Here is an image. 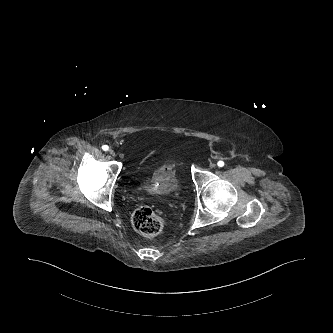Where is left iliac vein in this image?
<instances>
[{
    "label": "left iliac vein",
    "mask_w": 333,
    "mask_h": 333,
    "mask_svg": "<svg viewBox=\"0 0 333 333\" xmlns=\"http://www.w3.org/2000/svg\"><path fill=\"white\" fill-rule=\"evenodd\" d=\"M215 166H216V164H214V163H211V164L209 165L210 168H215Z\"/></svg>",
    "instance_id": "obj_1"
}]
</instances>
